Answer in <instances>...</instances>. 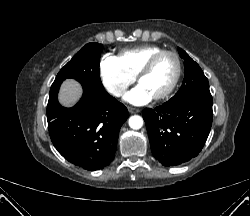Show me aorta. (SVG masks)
Here are the masks:
<instances>
[{
  "instance_id": "762f6f07",
  "label": "aorta",
  "mask_w": 250,
  "mask_h": 216,
  "mask_svg": "<svg viewBox=\"0 0 250 216\" xmlns=\"http://www.w3.org/2000/svg\"><path fill=\"white\" fill-rule=\"evenodd\" d=\"M129 126L134 130H138L143 126V119L138 115L131 116L129 118Z\"/></svg>"
}]
</instances>
